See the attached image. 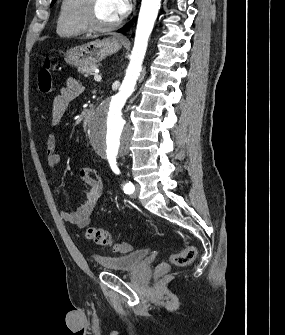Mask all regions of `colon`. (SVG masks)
I'll return each mask as SVG.
<instances>
[{"instance_id":"1","label":"colon","mask_w":285,"mask_h":335,"mask_svg":"<svg viewBox=\"0 0 285 335\" xmlns=\"http://www.w3.org/2000/svg\"><path fill=\"white\" fill-rule=\"evenodd\" d=\"M39 90L44 95H50L53 89L52 64L49 57H45L38 74ZM86 237L92 242L110 247L120 253H128L132 250V246L127 242H117L112 234L104 228L90 227L85 232ZM196 248L194 246H186L182 250L171 254L167 260L163 261L157 267L159 273H165L170 266H186L192 263L196 257Z\"/></svg>"}]
</instances>
